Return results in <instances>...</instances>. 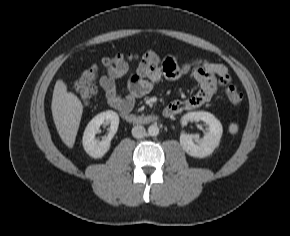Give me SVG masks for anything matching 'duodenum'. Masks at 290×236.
<instances>
[{"label": "duodenum", "instance_id": "1", "mask_svg": "<svg viewBox=\"0 0 290 236\" xmlns=\"http://www.w3.org/2000/svg\"><path fill=\"white\" fill-rule=\"evenodd\" d=\"M124 118L128 122L136 123V124L157 121L156 116H138V115L129 114V113L124 114Z\"/></svg>", "mask_w": 290, "mask_h": 236}]
</instances>
